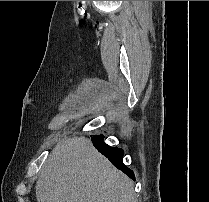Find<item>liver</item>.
Wrapping results in <instances>:
<instances>
[{"label":"liver","instance_id":"1","mask_svg":"<svg viewBox=\"0 0 209 202\" xmlns=\"http://www.w3.org/2000/svg\"><path fill=\"white\" fill-rule=\"evenodd\" d=\"M35 189L38 202H136L131 180L85 137L57 143Z\"/></svg>","mask_w":209,"mask_h":202}]
</instances>
